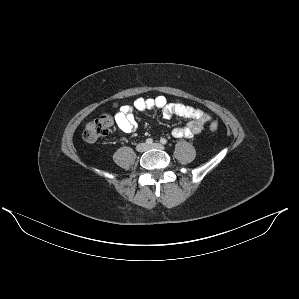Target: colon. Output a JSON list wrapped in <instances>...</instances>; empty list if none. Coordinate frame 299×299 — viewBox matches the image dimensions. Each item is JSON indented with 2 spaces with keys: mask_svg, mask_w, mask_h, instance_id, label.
Listing matches in <instances>:
<instances>
[{
  "mask_svg": "<svg viewBox=\"0 0 299 299\" xmlns=\"http://www.w3.org/2000/svg\"><path fill=\"white\" fill-rule=\"evenodd\" d=\"M112 125L113 120L111 116L107 114L101 115L93 119L86 125L83 132V138L85 141L88 142H93L98 139H101L109 133ZM210 129L212 131H217L218 124L216 121L211 122Z\"/></svg>",
  "mask_w": 299,
  "mask_h": 299,
  "instance_id": "colon-1",
  "label": "colon"
}]
</instances>
